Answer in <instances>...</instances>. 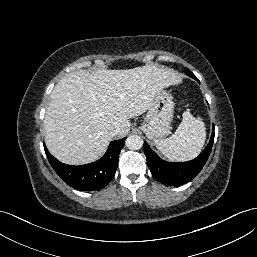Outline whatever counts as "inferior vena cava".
Masks as SVG:
<instances>
[{
  "mask_svg": "<svg viewBox=\"0 0 257 257\" xmlns=\"http://www.w3.org/2000/svg\"><path fill=\"white\" fill-rule=\"evenodd\" d=\"M118 132H119V130L117 128H111L110 131H109L111 136L117 135Z\"/></svg>",
  "mask_w": 257,
  "mask_h": 257,
  "instance_id": "obj_1",
  "label": "inferior vena cava"
}]
</instances>
